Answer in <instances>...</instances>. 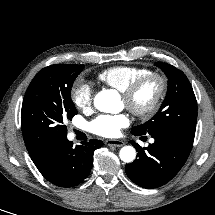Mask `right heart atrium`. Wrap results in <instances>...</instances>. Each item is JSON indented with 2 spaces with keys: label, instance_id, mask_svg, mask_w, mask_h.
<instances>
[{
  "label": "right heart atrium",
  "instance_id": "obj_1",
  "mask_svg": "<svg viewBox=\"0 0 215 215\" xmlns=\"http://www.w3.org/2000/svg\"><path fill=\"white\" fill-rule=\"evenodd\" d=\"M71 99L78 109L88 110L93 100L91 83L85 80L77 81L71 90Z\"/></svg>",
  "mask_w": 215,
  "mask_h": 215
}]
</instances>
